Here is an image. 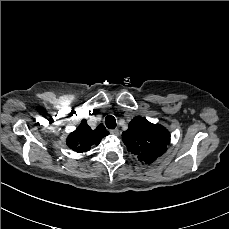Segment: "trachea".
Listing matches in <instances>:
<instances>
[{
    "label": "trachea",
    "mask_w": 229,
    "mask_h": 229,
    "mask_svg": "<svg viewBox=\"0 0 229 229\" xmlns=\"http://www.w3.org/2000/svg\"><path fill=\"white\" fill-rule=\"evenodd\" d=\"M105 124H106L107 128L114 129L116 127V120L112 115H108L105 118Z\"/></svg>",
    "instance_id": "3493384b"
}]
</instances>
